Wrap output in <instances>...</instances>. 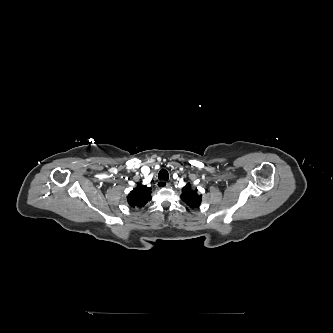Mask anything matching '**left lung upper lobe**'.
Segmentation results:
<instances>
[{
    "label": "left lung upper lobe",
    "instance_id": "left-lung-upper-lobe-1",
    "mask_svg": "<svg viewBox=\"0 0 333 333\" xmlns=\"http://www.w3.org/2000/svg\"><path fill=\"white\" fill-rule=\"evenodd\" d=\"M181 199L191 208L200 206L202 195L197 194V190H192L190 184H187L182 189Z\"/></svg>",
    "mask_w": 333,
    "mask_h": 333
}]
</instances>
